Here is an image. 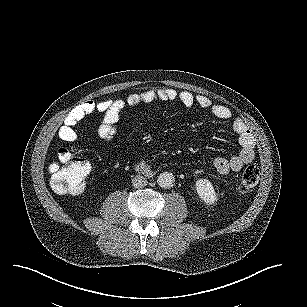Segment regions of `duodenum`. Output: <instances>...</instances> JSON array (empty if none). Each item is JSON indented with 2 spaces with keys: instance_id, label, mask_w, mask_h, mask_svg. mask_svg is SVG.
Listing matches in <instances>:
<instances>
[{
  "instance_id": "1",
  "label": "duodenum",
  "mask_w": 307,
  "mask_h": 307,
  "mask_svg": "<svg viewBox=\"0 0 307 307\" xmlns=\"http://www.w3.org/2000/svg\"><path fill=\"white\" fill-rule=\"evenodd\" d=\"M139 170L146 171V169L144 167H139Z\"/></svg>"
}]
</instances>
